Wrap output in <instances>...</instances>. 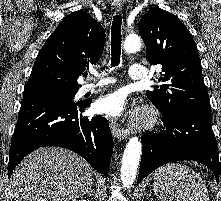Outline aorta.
Wrapping results in <instances>:
<instances>
[{"label":"aorta","mask_w":221,"mask_h":201,"mask_svg":"<svg viewBox=\"0 0 221 201\" xmlns=\"http://www.w3.org/2000/svg\"><path fill=\"white\" fill-rule=\"evenodd\" d=\"M125 51L134 53L141 48V40L138 35H129L124 42ZM142 152V144L137 136L132 137L126 145L121 164V181L125 188L132 186L139 166Z\"/></svg>","instance_id":"1"}]
</instances>
